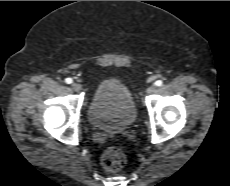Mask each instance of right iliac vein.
I'll return each mask as SVG.
<instances>
[{"mask_svg": "<svg viewBox=\"0 0 230 186\" xmlns=\"http://www.w3.org/2000/svg\"><path fill=\"white\" fill-rule=\"evenodd\" d=\"M72 87H73V89L76 90V91L82 90V86H81L79 83H73V84H72Z\"/></svg>", "mask_w": 230, "mask_h": 186, "instance_id": "obj_1", "label": "right iliac vein"}]
</instances>
